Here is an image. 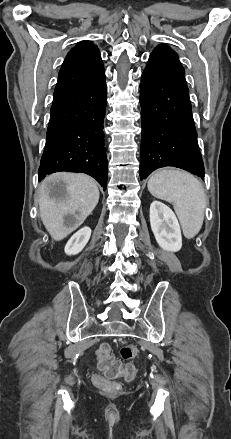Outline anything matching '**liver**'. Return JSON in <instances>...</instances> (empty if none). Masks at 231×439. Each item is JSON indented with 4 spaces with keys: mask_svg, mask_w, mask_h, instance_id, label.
Masks as SVG:
<instances>
[{
    "mask_svg": "<svg viewBox=\"0 0 231 439\" xmlns=\"http://www.w3.org/2000/svg\"><path fill=\"white\" fill-rule=\"evenodd\" d=\"M58 186L57 189H54ZM99 201L96 181L80 173L59 172L47 176L39 189L41 220L51 235L60 241L73 232L92 213ZM75 218L73 226L64 223V216Z\"/></svg>",
    "mask_w": 231,
    "mask_h": 439,
    "instance_id": "1",
    "label": "liver"
}]
</instances>
